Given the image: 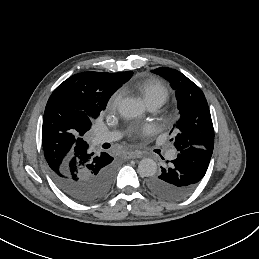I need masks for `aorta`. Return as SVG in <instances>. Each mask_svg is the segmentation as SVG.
<instances>
[{
    "instance_id": "obj_1",
    "label": "aorta",
    "mask_w": 259,
    "mask_h": 259,
    "mask_svg": "<svg viewBox=\"0 0 259 259\" xmlns=\"http://www.w3.org/2000/svg\"><path fill=\"white\" fill-rule=\"evenodd\" d=\"M118 112L125 118H135L144 112L142 102L136 98H124L118 105ZM138 172L142 177L154 176L157 164L151 158H144L138 164Z\"/></svg>"
}]
</instances>
